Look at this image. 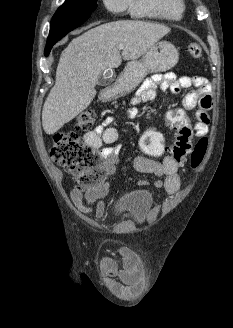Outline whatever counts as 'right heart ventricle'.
<instances>
[{
	"instance_id": "e07e8e85",
	"label": "right heart ventricle",
	"mask_w": 233,
	"mask_h": 328,
	"mask_svg": "<svg viewBox=\"0 0 233 328\" xmlns=\"http://www.w3.org/2000/svg\"><path fill=\"white\" fill-rule=\"evenodd\" d=\"M133 17L180 20L184 12L182 0H126Z\"/></svg>"
}]
</instances>
